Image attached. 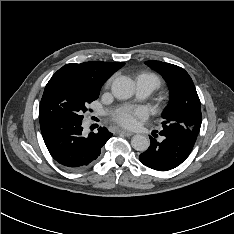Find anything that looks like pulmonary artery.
Wrapping results in <instances>:
<instances>
[{
    "mask_svg": "<svg viewBox=\"0 0 234 234\" xmlns=\"http://www.w3.org/2000/svg\"><path fill=\"white\" fill-rule=\"evenodd\" d=\"M155 87L152 81L141 78L137 80V96L139 98H146L148 97L153 91Z\"/></svg>",
    "mask_w": 234,
    "mask_h": 234,
    "instance_id": "pulmonary-artery-1",
    "label": "pulmonary artery"
}]
</instances>
